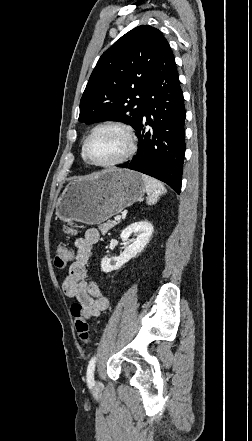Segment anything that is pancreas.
<instances>
[{
	"label": "pancreas",
	"instance_id": "pancreas-1",
	"mask_svg": "<svg viewBox=\"0 0 252 441\" xmlns=\"http://www.w3.org/2000/svg\"><path fill=\"white\" fill-rule=\"evenodd\" d=\"M118 223L116 221H107L106 223H102L98 225L99 230L103 235H105L111 228L116 226Z\"/></svg>",
	"mask_w": 252,
	"mask_h": 441
}]
</instances>
